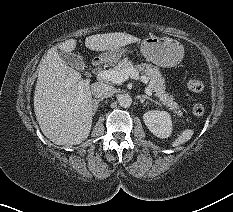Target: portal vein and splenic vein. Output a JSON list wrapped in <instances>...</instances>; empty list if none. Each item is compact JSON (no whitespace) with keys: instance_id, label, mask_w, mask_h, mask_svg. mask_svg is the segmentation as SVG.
Wrapping results in <instances>:
<instances>
[{"instance_id":"portal-vein-and-splenic-vein-1","label":"portal vein and splenic vein","mask_w":233,"mask_h":212,"mask_svg":"<svg viewBox=\"0 0 233 212\" xmlns=\"http://www.w3.org/2000/svg\"><path fill=\"white\" fill-rule=\"evenodd\" d=\"M98 76L102 79L111 81L115 84H120L129 78H133L135 80H140L143 83L148 82V78L146 76H139L138 71L135 68H128L124 70H101L98 72ZM145 93L149 96L152 95V91L150 87L145 88Z\"/></svg>"}]
</instances>
